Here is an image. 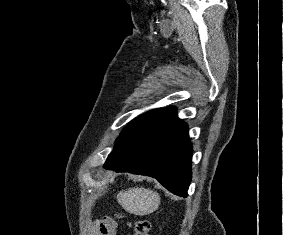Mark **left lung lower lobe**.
<instances>
[{
    "label": "left lung lower lobe",
    "mask_w": 283,
    "mask_h": 235,
    "mask_svg": "<svg viewBox=\"0 0 283 235\" xmlns=\"http://www.w3.org/2000/svg\"><path fill=\"white\" fill-rule=\"evenodd\" d=\"M191 157L188 126L169 107L134 131L109 155L104 168L154 177L172 193L186 197Z\"/></svg>",
    "instance_id": "1"
}]
</instances>
